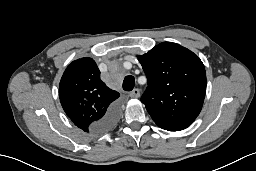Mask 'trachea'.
I'll return each instance as SVG.
<instances>
[{
	"mask_svg": "<svg viewBox=\"0 0 256 171\" xmlns=\"http://www.w3.org/2000/svg\"><path fill=\"white\" fill-rule=\"evenodd\" d=\"M134 86H135L134 77L131 75L126 76L123 81V90L131 91L133 90Z\"/></svg>",
	"mask_w": 256,
	"mask_h": 171,
	"instance_id": "3493384b",
	"label": "trachea"
}]
</instances>
